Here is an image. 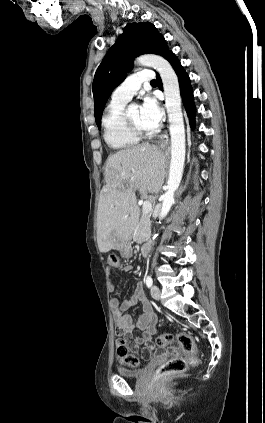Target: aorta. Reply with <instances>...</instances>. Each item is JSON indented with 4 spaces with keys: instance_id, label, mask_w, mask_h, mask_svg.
<instances>
[{
    "instance_id": "1",
    "label": "aorta",
    "mask_w": 265,
    "mask_h": 423,
    "mask_svg": "<svg viewBox=\"0 0 265 423\" xmlns=\"http://www.w3.org/2000/svg\"><path fill=\"white\" fill-rule=\"evenodd\" d=\"M141 66L152 67L161 76L165 94V104L170 123L171 163L167 191L163 196L159 220L167 216L174 202V194L178 189L185 162V128L181 109V97L178 77L170 63L159 55H142L136 59Z\"/></svg>"
}]
</instances>
